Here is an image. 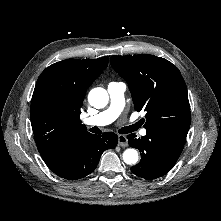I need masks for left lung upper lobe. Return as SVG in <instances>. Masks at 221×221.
I'll list each match as a JSON object with an SVG mask.
<instances>
[{
  "label": "left lung upper lobe",
  "mask_w": 221,
  "mask_h": 221,
  "mask_svg": "<svg viewBox=\"0 0 221 221\" xmlns=\"http://www.w3.org/2000/svg\"><path fill=\"white\" fill-rule=\"evenodd\" d=\"M114 70L126 80L137 111H146V130L187 134L190 106L185 81L168 60L148 55L111 56Z\"/></svg>",
  "instance_id": "1"
}]
</instances>
